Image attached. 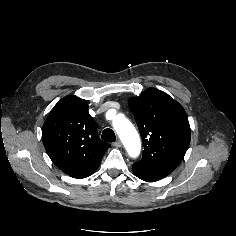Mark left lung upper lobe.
Wrapping results in <instances>:
<instances>
[{
    "instance_id": "1",
    "label": "left lung upper lobe",
    "mask_w": 236,
    "mask_h": 236,
    "mask_svg": "<svg viewBox=\"0 0 236 236\" xmlns=\"http://www.w3.org/2000/svg\"><path fill=\"white\" fill-rule=\"evenodd\" d=\"M144 142L142 159L135 163L164 178L183 160L191 130L184 108L167 93L149 88L128 101Z\"/></svg>"
}]
</instances>
